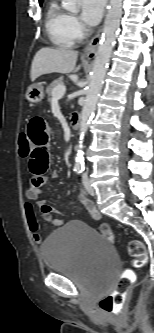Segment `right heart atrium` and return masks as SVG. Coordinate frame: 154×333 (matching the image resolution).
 <instances>
[{
  "mask_svg": "<svg viewBox=\"0 0 154 333\" xmlns=\"http://www.w3.org/2000/svg\"><path fill=\"white\" fill-rule=\"evenodd\" d=\"M69 24H70V29L74 34V36L77 39H80L84 34V27L80 22V20L78 19V17L70 15Z\"/></svg>",
  "mask_w": 154,
  "mask_h": 333,
  "instance_id": "right-heart-atrium-1",
  "label": "right heart atrium"
}]
</instances>
